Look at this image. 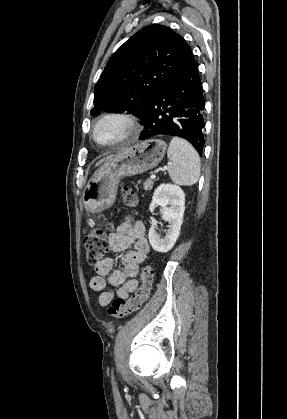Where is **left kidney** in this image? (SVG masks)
<instances>
[{"label":"left kidney","mask_w":287,"mask_h":419,"mask_svg":"<svg viewBox=\"0 0 287 419\" xmlns=\"http://www.w3.org/2000/svg\"><path fill=\"white\" fill-rule=\"evenodd\" d=\"M157 205L163 208L162 219L169 223L168 230L161 238L152 226L149 229L148 238L155 251L165 253L172 249L179 236L185 211V194L177 185L161 184L153 194L149 206L150 212H153Z\"/></svg>","instance_id":"1"}]
</instances>
